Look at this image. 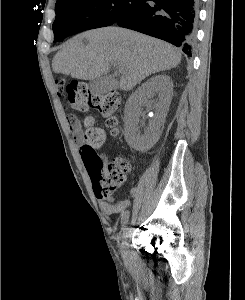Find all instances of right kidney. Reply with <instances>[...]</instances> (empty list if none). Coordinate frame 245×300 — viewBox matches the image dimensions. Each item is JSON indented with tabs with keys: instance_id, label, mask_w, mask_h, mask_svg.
<instances>
[{
	"instance_id": "obj_1",
	"label": "right kidney",
	"mask_w": 245,
	"mask_h": 300,
	"mask_svg": "<svg viewBox=\"0 0 245 300\" xmlns=\"http://www.w3.org/2000/svg\"><path fill=\"white\" fill-rule=\"evenodd\" d=\"M173 95V83L167 75H156L143 83L127 100L124 110V134L130 147L137 151L149 150L159 139ZM157 97V100H153ZM154 109L148 127L142 131L139 117L143 107Z\"/></svg>"
}]
</instances>
